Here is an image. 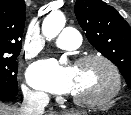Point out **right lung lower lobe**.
Masks as SVG:
<instances>
[{
	"instance_id": "obj_1",
	"label": "right lung lower lobe",
	"mask_w": 131,
	"mask_h": 115,
	"mask_svg": "<svg viewBox=\"0 0 131 115\" xmlns=\"http://www.w3.org/2000/svg\"><path fill=\"white\" fill-rule=\"evenodd\" d=\"M10 98H12V97H9L7 95H0V101H6V100H8Z\"/></svg>"
}]
</instances>
